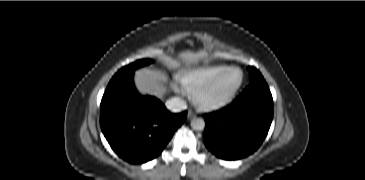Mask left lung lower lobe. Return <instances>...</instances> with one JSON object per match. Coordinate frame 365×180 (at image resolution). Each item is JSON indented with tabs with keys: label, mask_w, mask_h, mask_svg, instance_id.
I'll list each match as a JSON object with an SVG mask.
<instances>
[{
	"label": "left lung lower lobe",
	"mask_w": 365,
	"mask_h": 180,
	"mask_svg": "<svg viewBox=\"0 0 365 180\" xmlns=\"http://www.w3.org/2000/svg\"><path fill=\"white\" fill-rule=\"evenodd\" d=\"M272 118L273 99L266 81L252 82L228 107L204 115V143L219 158L241 159L259 148Z\"/></svg>",
	"instance_id": "0a47b994"
}]
</instances>
